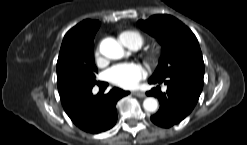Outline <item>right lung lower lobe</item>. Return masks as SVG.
Returning <instances> with one entry per match:
<instances>
[{
	"label": "right lung lower lobe",
	"instance_id": "obj_1",
	"mask_svg": "<svg viewBox=\"0 0 247 145\" xmlns=\"http://www.w3.org/2000/svg\"><path fill=\"white\" fill-rule=\"evenodd\" d=\"M97 84L104 85L101 82ZM93 86L77 87L60 98L65 112L76 126L85 132L100 133L115 125L116 103L129 92L113 88L108 94L93 95Z\"/></svg>",
	"mask_w": 247,
	"mask_h": 145
}]
</instances>
